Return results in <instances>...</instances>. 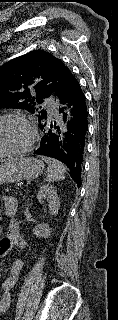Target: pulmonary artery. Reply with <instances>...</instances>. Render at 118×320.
<instances>
[{"label": "pulmonary artery", "mask_w": 118, "mask_h": 320, "mask_svg": "<svg viewBox=\"0 0 118 320\" xmlns=\"http://www.w3.org/2000/svg\"><path fill=\"white\" fill-rule=\"evenodd\" d=\"M46 106H47V109L50 113H56V107L54 105L53 102L49 101V102H46Z\"/></svg>", "instance_id": "1"}]
</instances>
